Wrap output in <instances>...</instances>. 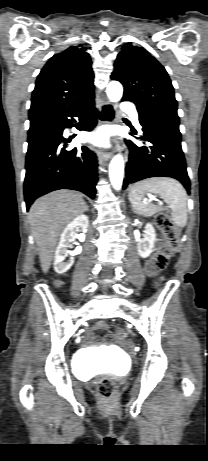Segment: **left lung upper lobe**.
Returning a JSON list of instances; mask_svg holds the SVG:
<instances>
[{"label": "left lung upper lobe", "instance_id": "left-lung-upper-lobe-1", "mask_svg": "<svg viewBox=\"0 0 208 461\" xmlns=\"http://www.w3.org/2000/svg\"><path fill=\"white\" fill-rule=\"evenodd\" d=\"M111 79L124 86L123 100L138 113L167 111L177 114L174 88L165 68L142 47L127 43L114 64Z\"/></svg>", "mask_w": 208, "mask_h": 461}]
</instances>
